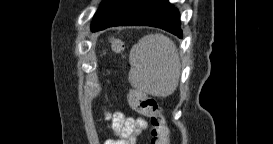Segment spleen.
<instances>
[{
	"mask_svg": "<svg viewBox=\"0 0 273 144\" xmlns=\"http://www.w3.org/2000/svg\"><path fill=\"white\" fill-rule=\"evenodd\" d=\"M128 79L132 87L157 97L174 93L180 77V59L175 43L156 33L133 45Z\"/></svg>",
	"mask_w": 273,
	"mask_h": 144,
	"instance_id": "1",
	"label": "spleen"
}]
</instances>
